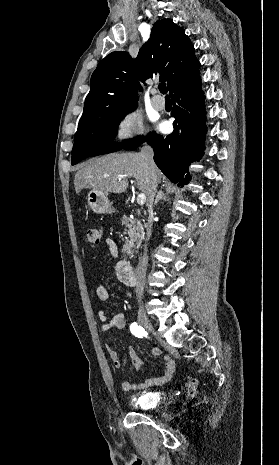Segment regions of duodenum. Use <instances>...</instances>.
I'll return each mask as SVG.
<instances>
[{
	"instance_id": "duodenum-1",
	"label": "duodenum",
	"mask_w": 279,
	"mask_h": 465,
	"mask_svg": "<svg viewBox=\"0 0 279 465\" xmlns=\"http://www.w3.org/2000/svg\"><path fill=\"white\" fill-rule=\"evenodd\" d=\"M118 275L121 282L125 285L134 286L136 284L135 272L128 262H122L119 265Z\"/></svg>"
}]
</instances>
